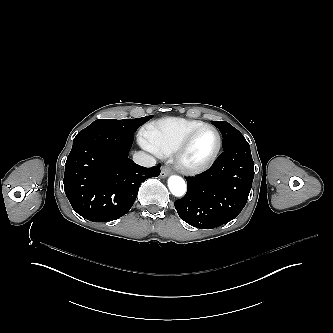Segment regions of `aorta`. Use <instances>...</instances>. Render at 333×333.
Wrapping results in <instances>:
<instances>
[{
	"label": "aorta",
	"instance_id": "1",
	"mask_svg": "<svg viewBox=\"0 0 333 333\" xmlns=\"http://www.w3.org/2000/svg\"><path fill=\"white\" fill-rule=\"evenodd\" d=\"M168 188L176 197H182L187 191V185L184 179L177 175H172L168 179Z\"/></svg>",
	"mask_w": 333,
	"mask_h": 333
}]
</instances>
